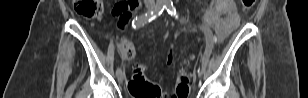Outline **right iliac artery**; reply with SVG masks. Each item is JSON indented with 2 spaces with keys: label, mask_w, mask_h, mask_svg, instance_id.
<instances>
[{
  "label": "right iliac artery",
  "mask_w": 308,
  "mask_h": 98,
  "mask_svg": "<svg viewBox=\"0 0 308 98\" xmlns=\"http://www.w3.org/2000/svg\"><path fill=\"white\" fill-rule=\"evenodd\" d=\"M165 8H166V4L163 2H159L151 12L137 16L132 22V27L134 29H137L151 22L152 20L157 18L159 15H161ZM120 71L121 69L118 68L116 71V74H119Z\"/></svg>",
  "instance_id": "1"
}]
</instances>
